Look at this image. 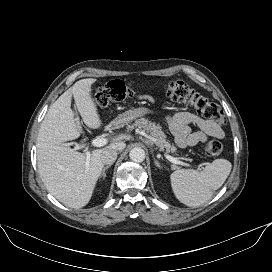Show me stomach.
<instances>
[{"label": "stomach", "mask_w": 272, "mask_h": 272, "mask_svg": "<svg viewBox=\"0 0 272 272\" xmlns=\"http://www.w3.org/2000/svg\"><path fill=\"white\" fill-rule=\"evenodd\" d=\"M150 113H152V110H150L147 107H139L136 109H132V110H129V111H126V112L120 114L117 118H115L112 121L111 126L116 127V128L122 127V126L132 122L133 120H135L139 117L148 115Z\"/></svg>", "instance_id": "stomach-1"}]
</instances>
